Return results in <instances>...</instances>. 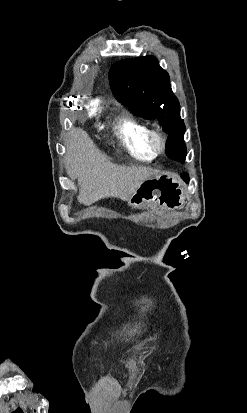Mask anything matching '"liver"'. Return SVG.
Wrapping results in <instances>:
<instances>
[{"label":"liver","instance_id":"1","mask_svg":"<svg viewBox=\"0 0 247 413\" xmlns=\"http://www.w3.org/2000/svg\"><path fill=\"white\" fill-rule=\"evenodd\" d=\"M65 168L71 180L78 178V200L81 204H92L100 198L117 196L127 200L139 184L158 174L150 166H126L115 164L103 154L83 128L73 126L66 140Z\"/></svg>","mask_w":247,"mask_h":413}]
</instances>
